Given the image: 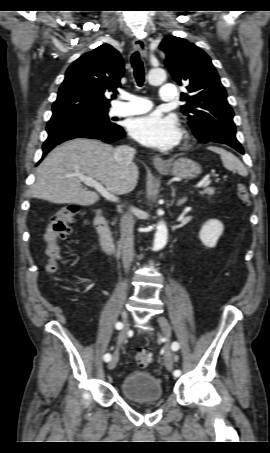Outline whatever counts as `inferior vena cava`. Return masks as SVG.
Masks as SVG:
<instances>
[{
	"mask_svg": "<svg viewBox=\"0 0 270 453\" xmlns=\"http://www.w3.org/2000/svg\"><path fill=\"white\" fill-rule=\"evenodd\" d=\"M136 151L135 149L131 148L130 146H119L114 149V158L116 162L121 167H126L132 164V160L134 158ZM133 228H134V215L132 207L124 213L121 217L120 221V231H121V238H120V245L122 249V262L123 267L127 271L133 261L134 257V235H133Z\"/></svg>",
	"mask_w": 270,
	"mask_h": 453,
	"instance_id": "602c4592",
	"label": "inferior vena cava"
}]
</instances>
